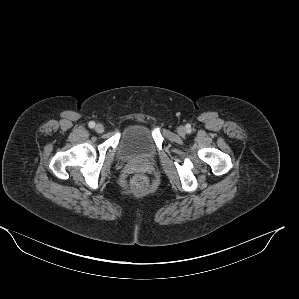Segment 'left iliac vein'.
<instances>
[{"label":"left iliac vein","instance_id":"left-iliac-vein-1","mask_svg":"<svg viewBox=\"0 0 299 299\" xmlns=\"http://www.w3.org/2000/svg\"><path fill=\"white\" fill-rule=\"evenodd\" d=\"M178 133H179L180 135H184V134H185V129H184L183 127H180V128L178 129Z\"/></svg>","mask_w":299,"mask_h":299}]
</instances>
